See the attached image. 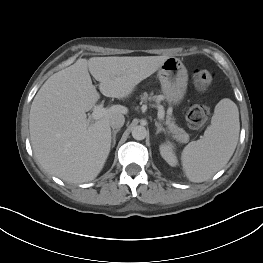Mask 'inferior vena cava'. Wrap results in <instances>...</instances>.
<instances>
[{
  "label": "inferior vena cava",
  "instance_id": "inferior-vena-cava-1",
  "mask_svg": "<svg viewBox=\"0 0 263 263\" xmlns=\"http://www.w3.org/2000/svg\"><path fill=\"white\" fill-rule=\"evenodd\" d=\"M125 117L122 114H115L110 119V126L113 129H119L124 125Z\"/></svg>",
  "mask_w": 263,
  "mask_h": 263
}]
</instances>
